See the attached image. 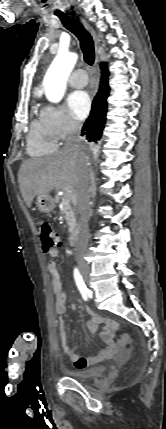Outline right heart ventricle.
Here are the masks:
<instances>
[{
  "mask_svg": "<svg viewBox=\"0 0 166 429\" xmlns=\"http://www.w3.org/2000/svg\"><path fill=\"white\" fill-rule=\"evenodd\" d=\"M27 147L32 156L50 154L57 149V140L50 134L40 118L34 119L31 123Z\"/></svg>",
  "mask_w": 166,
  "mask_h": 429,
  "instance_id": "obj_1",
  "label": "right heart ventricle"
}]
</instances>
